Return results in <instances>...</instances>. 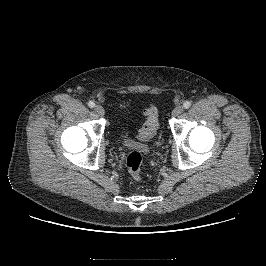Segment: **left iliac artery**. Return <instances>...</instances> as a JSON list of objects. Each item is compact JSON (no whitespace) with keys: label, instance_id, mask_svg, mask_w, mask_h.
<instances>
[{"label":"left iliac artery","instance_id":"obj_1","mask_svg":"<svg viewBox=\"0 0 266 266\" xmlns=\"http://www.w3.org/2000/svg\"><path fill=\"white\" fill-rule=\"evenodd\" d=\"M190 106H191V102H190V101H185V102L183 103V107H184L185 109H188Z\"/></svg>","mask_w":266,"mask_h":266}]
</instances>
